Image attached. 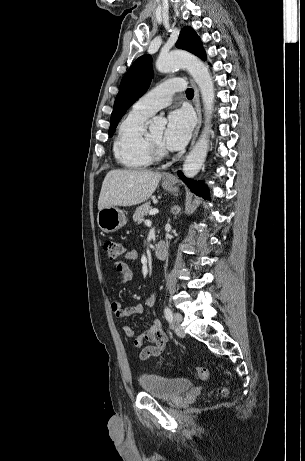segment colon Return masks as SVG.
I'll list each match as a JSON object with an SVG mask.
<instances>
[{
    "instance_id": "obj_1",
    "label": "colon",
    "mask_w": 305,
    "mask_h": 461,
    "mask_svg": "<svg viewBox=\"0 0 305 461\" xmlns=\"http://www.w3.org/2000/svg\"><path fill=\"white\" fill-rule=\"evenodd\" d=\"M103 248L109 260L111 261H117L120 257H122L124 253L123 244L120 241L113 240V239L105 240L103 244ZM195 374L200 379H206L208 376L207 369L202 366H197L195 368ZM217 392L219 395L224 396L227 394V388L225 386H221L218 388Z\"/></svg>"
}]
</instances>
